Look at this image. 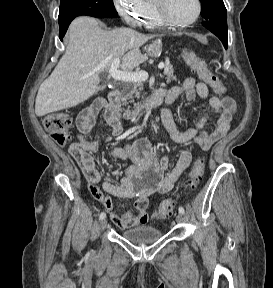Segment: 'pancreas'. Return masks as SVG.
<instances>
[{"instance_id": "pancreas-1", "label": "pancreas", "mask_w": 273, "mask_h": 288, "mask_svg": "<svg viewBox=\"0 0 273 288\" xmlns=\"http://www.w3.org/2000/svg\"><path fill=\"white\" fill-rule=\"evenodd\" d=\"M164 77L167 83H171L173 80H176V76H174V70L171 65H166L164 68ZM143 83L142 82H133L127 85L124 90V96L122 98L123 105L129 103H134V98L139 99L143 98ZM139 103H134V106H138ZM128 111V110H127Z\"/></svg>"}]
</instances>
